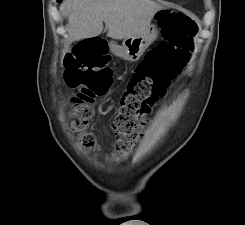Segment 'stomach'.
Instances as JSON below:
<instances>
[{"label": "stomach", "instance_id": "obj_1", "mask_svg": "<svg viewBox=\"0 0 245 225\" xmlns=\"http://www.w3.org/2000/svg\"><path fill=\"white\" fill-rule=\"evenodd\" d=\"M159 10L158 12H160ZM157 12V13H158ZM154 15V17L157 15ZM158 31L155 25L150 24L142 33L139 35L126 38L122 45L117 43H111V49L113 53L130 62H135L140 59L148 46L157 38Z\"/></svg>", "mask_w": 245, "mask_h": 225}]
</instances>
